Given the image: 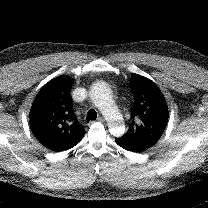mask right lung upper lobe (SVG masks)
I'll return each mask as SVG.
<instances>
[{"label":"right lung upper lobe","mask_w":208,"mask_h":208,"mask_svg":"<svg viewBox=\"0 0 208 208\" xmlns=\"http://www.w3.org/2000/svg\"><path fill=\"white\" fill-rule=\"evenodd\" d=\"M73 82L65 75L52 79L40 89L30 110L33 134L52 151L68 150L85 135L73 110L70 95Z\"/></svg>","instance_id":"cb5924a9"}]
</instances>
